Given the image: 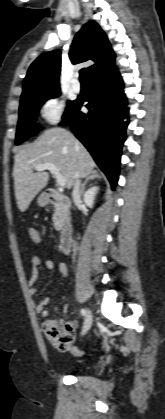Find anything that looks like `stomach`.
Segmentation results:
<instances>
[{
    "label": "stomach",
    "mask_w": 165,
    "mask_h": 419,
    "mask_svg": "<svg viewBox=\"0 0 165 419\" xmlns=\"http://www.w3.org/2000/svg\"><path fill=\"white\" fill-rule=\"evenodd\" d=\"M39 203H40V204H43V201L39 200Z\"/></svg>",
    "instance_id": "stomach-1"
}]
</instances>
